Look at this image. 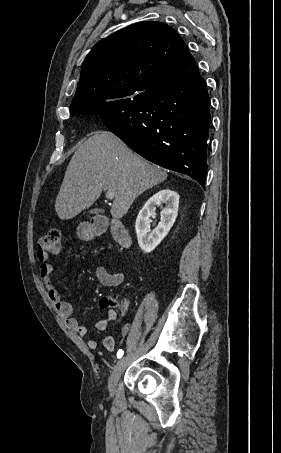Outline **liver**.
<instances>
[{"label": "liver", "instance_id": "liver-1", "mask_svg": "<svg viewBox=\"0 0 281 453\" xmlns=\"http://www.w3.org/2000/svg\"><path fill=\"white\" fill-rule=\"evenodd\" d=\"M167 172L138 156L109 130H97L75 150L57 194L61 220L92 206L102 190L114 192L113 218H122L135 198L166 180Z\"/></svg>", "mask_w": 281, "mask_h": 453}]
</instances>
